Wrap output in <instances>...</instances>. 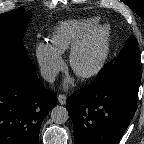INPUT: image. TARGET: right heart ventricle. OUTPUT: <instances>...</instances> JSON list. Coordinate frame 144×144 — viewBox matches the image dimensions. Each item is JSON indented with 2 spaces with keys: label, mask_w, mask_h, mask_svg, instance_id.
<instances>
[{
  "label": "right heart ventricle",
  "mask_w": 144,
  "mask_h": 144,
  "mask_svg": "<svg viewBox=\"0 0 144 144\" xmlns=\"http://www.w3.org/2000/svg\"><path fill=\"white\" fill-rule=\"evenodd\" d=\"M98 25L97 18L70 19L60 22L50 35L51 45L60 53L70 48Z\"/></svg>",
  "instance_id": "1"
}]
</instances>
